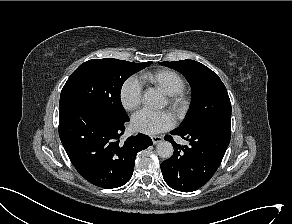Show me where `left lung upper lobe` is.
Here are the masks:
<instances>
[{
	"instance_id": "left-lung-upper-lobe-1",
	"label": "left lung upper lobe",
	"mask_w": 292,
	"mask_h": 224,
	"mask_svg": "<svg viewBox=\"0 0 292 224\" xmlns=\"http://www.w3.org/2000/svg\"><path fill=\"white\" fill-rule=\"evenodd\" d=\"M185 76L192 89V106L186 121L177 128L185 133L231 131V103L218 75L193 60L160 62Z\"/></svg>"
}]
</instances>
